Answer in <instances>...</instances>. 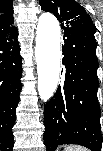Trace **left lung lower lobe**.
<instances>
[{"instance_id": "left-lung-lower-lobe-1", "label": "left lung lower lobe", "mask_w": 103, "mask_h": 151, "mask_svg": "<svg viewBox=\"0 0 103 151\" xmlns=\"http://www.w3.org/2000/svg\"><path fill=\"white\" fill-rule=\"evenodd\" d=\"M63 38L65 80L45 106L44 143L47 151H54L62 144H78L92 151H101L94 34L66 29Z\"/></svg>"}]
</instances>
